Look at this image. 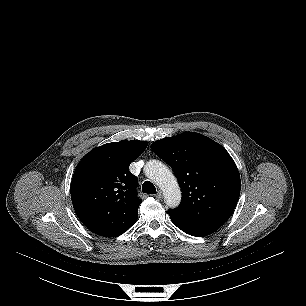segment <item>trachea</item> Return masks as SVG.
<instances>
[{"mask_svg": "<svg viewBox=\"0 0 306 306\" xmlns=\"http://www.w3.org/2000/svg\"><path fill=\"white\" fill-rule=\"evenodd\" d=\"M142 192L147 194H156V188L150 181H145L142 185Z\"/></svg>", "mask_w": 306, "mask_h": 306, "instance_id": "trachea-1", "label": "trachea"}]
</instances>
